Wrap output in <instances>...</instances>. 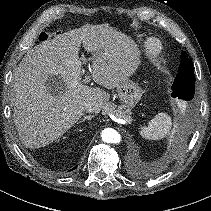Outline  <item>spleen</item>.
Segmentation results:
<instances>
[{"label": "spleen", "instance_id": "spleen-1", "mask_svg": "<svg viewBox=\"0 0 211 211\" xmlns=\"http://www.w3.org/2000/svg\"><path fill=\"white\" fill-rule=\"evenodd\" d=\"M172 127L171 117L166 113H158L147 126L140 130V135L149 140H160L166 137Z\"/></svg>", "mask_w": 211, "mask_h": 211}]
</instances>
